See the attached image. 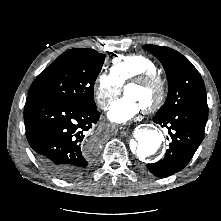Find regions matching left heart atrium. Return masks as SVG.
<instances>
[{"instance_id": "left-heart-atrium-1", "label": "left heart atrium", "mask_w": 221, "mask_h": 221, "mask_svg": "<svg viewBox=\"0 0 221 221\" xmlns=\"http://www.w3.org/2000/svg\"><path fill=\"white\" fill-rule=\"evenodd\" d=\"M143 107L132 97L124 95L109 107L107 116L115 123H126L136 117Z\"/></svg>"}]
</instances>
